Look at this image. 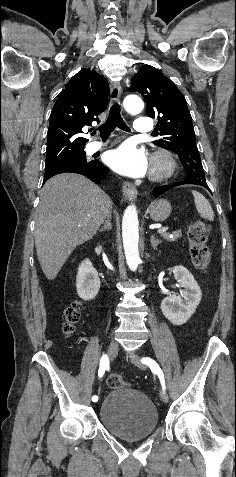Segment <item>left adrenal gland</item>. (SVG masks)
<instances>
[{"label": "left adrenal gland", "instance_id": "left-adrenal-gland-1", "mask_svg": "<svg viewBox=\"0 0 236 477\" xmlns=\"http://www.w3.org/2000/svg\"><path fill=\"white\" fill-rule=\"evenodd\" d=\"M150 242H151V246L153 247V249H157V246L160 244V240L156 239L154 237V235L151 236V239H150Z\"/></svg>", "mask_w": 236, "mask_h": 477}]
</instances>
